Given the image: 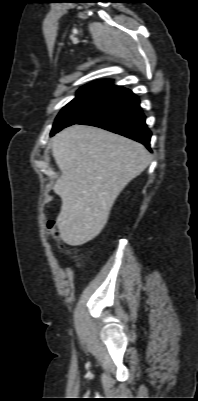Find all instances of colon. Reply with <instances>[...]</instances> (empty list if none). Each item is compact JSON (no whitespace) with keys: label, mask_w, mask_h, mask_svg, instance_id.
I'll return each instance as SVG.
<instances>
[{"label":"colon","mask_w":198,"mask_h":401,"mask_svg":"<svg viewBox=\"0 0 198 401\" xmlns=\"http://www.w3.org/2000/svg\"><path fill=\"white\" fill-rule=\"evenodd\" d=\"M48 233L53 237V238H57L58 237V233L56 230V224L54 221H49L48 222Z\"/></svg>","instance_id":"obj_1"}]
</instances>
